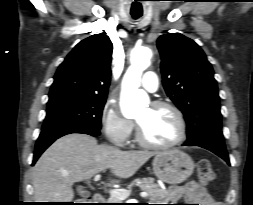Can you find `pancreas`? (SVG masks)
I'll return each mask as SVG.
<instances>
[{"label":"pancreas","mask_w":253,"mask_h":205,"mask_svg":"<svg viewBox=\"0 0 253 205\" xmlns=\"http://www.w3.org/2000/svg\"><path fill=\"white\" fill-rule=\"evenodd\" d=\"M140 184V189L147 192L149 199L151 201H165L168 192L163 190L158 184L154 182L153 178H142V179H135L127 188L130 191L132 187L136 184ZM107 203H122L121 200L117 199L116 197L111 196Z\"/></svg>","instance_id":"obj_1"}]
</instances>
